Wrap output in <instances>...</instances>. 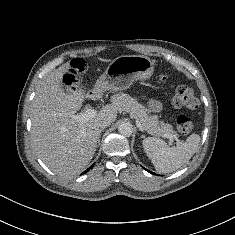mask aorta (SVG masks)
<instances>
[{
	"label": "aorta",
	"mask_w": 235,
	"mask_h": 235,
	"mask_svg": "<svg viewBox=\"0 0 235 235\" xmlns=\"http://www.w3.org/2000/svg\"><path fill=\"white\" fill-rule=\"evenodd\" d=\"M118 131L123 136H130L133 133V126L129 122H122L118 127Z\"/></svg>",
	"instance_id": "1"
}]
</instances>
